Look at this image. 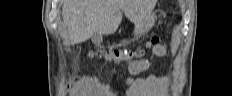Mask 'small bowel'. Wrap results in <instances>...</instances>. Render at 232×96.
Masks as SVG:
<instances>
[{"label":"small bowel","instance_id":"c3829d8e","mask_svg":"<svg viewBox=\"0 0 232 96\" xmlns=\"http://www.w3.org/2000/svg\"><path fill=\"white\" fill-rule=\"evenodd\" d=\"M164 48L163 46L161 47ZM146 63L138 62L132 65L133 70H140L145 67ZM167 77L150 75L141 78L129 79V96H149V95H165L168 92L164 90Z\"/></svg>","mask_w":232,"mask_h":96}]
</instances>
